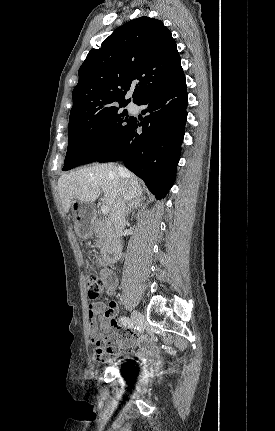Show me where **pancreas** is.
Here are the masks:
<instances>
[{
  "instance_id": "pancreas-1",
  "label": "pancreas",
  "mask_w": 275,
  "mask_h": 431,
  "mask_svg": "<svg viewBox=\"0 0 275 431\" xmlns=\"http://www.w3.org/2000/svg\"><path fill=\"white\" fill-rule=\"evenodd\" d=\"M97 240H96V246L99 249H103L106 245V242L108 238L110 237V233L101 225H97Z\"/></svg>"
}]
</instances>
